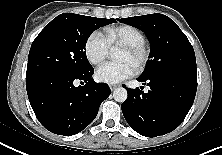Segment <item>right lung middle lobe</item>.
<instances>
[{"label": "right lung middle lobe", "instance_id": "1", "mask_svg": "<svg viewBox=\"0 0 222 155\" xmlns=\"http://www.w3.org/2000/svg\"><path fill=\"white\" fill-rule=\"evenodd\" d=\"M115 19L74 13L54 18L33 41L26 72L27 93L56 80L77 77L92 69L85 46L91 33Z\"/></svg>", "mask_w": 222, "mask_h": 155}]
</instances>
